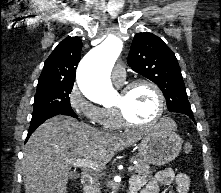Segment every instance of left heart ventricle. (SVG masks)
Masks as SVG:
<instances>
[{
    "instance_id": "obj_1",
    "label": "left heart ventricle",
    "mask_w": 221,
    "mask_h": 193,
    "mask_svg": "<svg viewBox=\"0 0 221 193\" xmlns=\"http://www.w3.org/2000/svg\"><path fill=\"white\" fill-rule=\"evenodd\" d=\"M115 105H121L132 121L146 123L157 111V97L151 87L140 85L126 94L120 92Z\"/></svg>"
}]
</instances>
